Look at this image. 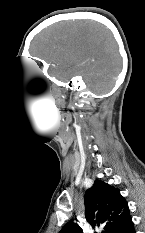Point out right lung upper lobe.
Wrapping results in <instances>:
<instances>
[{"label": "right lung upper lobe", "instance_id": "right-lung-upper-lobe-1", "mask_svg": "<svg viewBox=\"0 0 145 233\" xmlns=\"http://www.w3.org/2000/svg\"><path fill=\"white\" fill-rule=\"evenodd\" d=\"M85 217L92 225L102 226V233H116L131 218L126 200L119 189L95 180L85 193ZM59 233H83L73 221L65 224Z\"/></svg>", "mask_w": 145, "mask_h": 233}]
</instances>
